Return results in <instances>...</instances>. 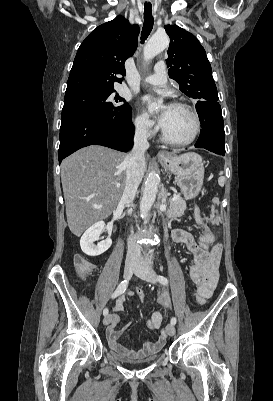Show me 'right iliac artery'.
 Wrapping results in <instances>:
<instances>
[{
  "label": "right iliac artery",
  "mask_w": 273,
  "mask_h": 401,
  "mask_svg": "<svg viewBox=\"0 0 273 401\" xmlns=\"http://www.w3.org/2000/svg\"><path fill=\"white\" fill-rule=\"evenodd\" d=\"M127 286H128V280L122 281V282L118 285V287H117V289L115 290V292L112 294V298H116L117 296H119V295H121L122 293H124L125 290H126V288H127ZM107 314H108V309L105 308V309L103 310V315L105 316V315H107Z\"/></svg>",
  "instance_id": "right-iliac-artery-1"
}]
</instances>
